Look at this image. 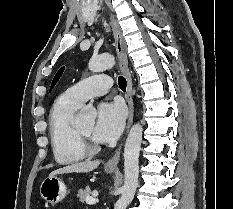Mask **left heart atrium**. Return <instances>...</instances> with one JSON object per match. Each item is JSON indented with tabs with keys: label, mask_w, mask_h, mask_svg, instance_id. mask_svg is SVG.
Wrapping results in <instances>:
<instances>
[{
	"label": "left heart atrium",
	"mask_w": 233,
	"mask_h": 209,
	"mask_svg": "<svg viewBox=\"0 0 233 209\" xmlns=\"http://www.w3.org/2000/svg\"><path fill=\"white\" fill-rule=\"evenodd\" d=\"M125 120L124 108L119 103L103 102L98 107V116L93 129L97 142H111L120 135Z\"/></svg>",
	"instance_id": "left-heart-atrium-1"
}]
</instances>
